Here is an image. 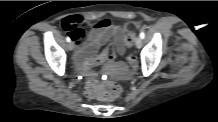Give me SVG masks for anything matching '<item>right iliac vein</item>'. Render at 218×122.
<instances>
[{"label":"right iliac vein","instance_id":"63e3f726","mask_svg":"<svg viewBox=\"0 0 218 122\" xmlns=\"http://www.w3.org/2000/svg\"><path fill=\"white\" fill-rule=\"evenodd\" d=\"M67 48H68L69 51H72L74 49V43L69 42V44L67 45Z\"/></svg>","mask_w":218,"mask_h":122}]
</instances>
